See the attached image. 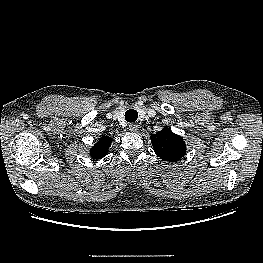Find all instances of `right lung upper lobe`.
<instances>
[{"instance_id": "right-lung-upper-lobe-1", "label": "right lung upper lobe", "mask_w": 263, "mask_h": 263, "mask_svg": "<svg viewBox=\"0 0 263 263\" xmlns=\"http://www.w3.org/2000/svg\"><path fill=\"white\" fill-rule=\"evenodd\" d=\"M112 139L109 137H102L97 144L91 149V157L94 159H101L108 152Z\"/></svg>"}]
</instances>
